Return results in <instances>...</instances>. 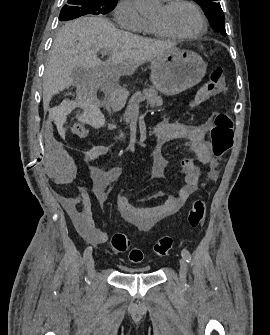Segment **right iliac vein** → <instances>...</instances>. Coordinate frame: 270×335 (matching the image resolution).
Here are the masks:
<instances>
[{
  "mask_svg": "<svg viewBox=\"0 0 270 335\" xmlns=\"http://www.w3.org/2000/svg\"><path fill=\"white\" fill-rule=\"evenodd\" d=\"M87 272H88L89 278L92 279L95 275V264H94V259L92 256H90L87 261Z\"/></svg>",
  "mask_w": 270,
  "mask_h": 335,
  "instance_id": "obj_1",
  "label": "right iliac vein"
}]
</instances>
